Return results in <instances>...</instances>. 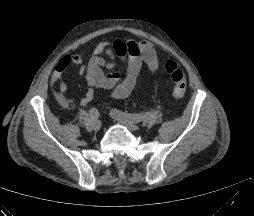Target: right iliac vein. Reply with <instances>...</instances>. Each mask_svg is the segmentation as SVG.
<instances>
[{"label":"right iliac vein","instance_id":"obj_1","mask_svg":"<svg viewBox=\"0 0 254 216\" xmlns=\"http://www.w3.org/2000/svg\"><path fill=\"white\" fill-rule=\"evenodd\" d=\"M101 126H102V123H101V121L100 120H94L93 122H92V127H93V129L94 130H99L100 128H101Z\"/></svg>","mask_w":254,"mask_h":216}]
</instances>
